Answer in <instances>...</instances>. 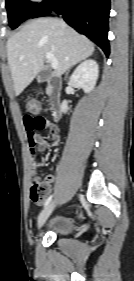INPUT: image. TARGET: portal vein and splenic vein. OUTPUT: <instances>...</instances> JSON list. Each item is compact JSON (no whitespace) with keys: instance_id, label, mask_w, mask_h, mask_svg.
<instances>
[{"instance_id":"1","label":"portal vein and splenic vein","mask_w":134,"mask_h":281,"mask_svg":"<svg viewBox=\"0 0 134 281\" xmlns=\"http://www.w3.org/2000/svg\"><path fill=\"white\" fill-rule=\"evenodd\" d=\"M46 59H47L48 61H50L51 67H52L53 69H56V68L58 67V61L54 58V56H53L52 53H47V54H46Z\"/></svg>"}]
</instances>
